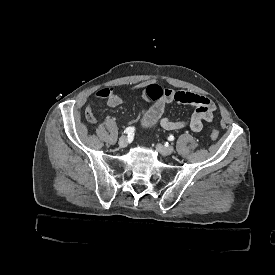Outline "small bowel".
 Segmentation results:
<instances>
[{
	"instance_id": "obj_1",
	"label": "small bowel",
	"mask_w": 275,
	"mask_h": 275,
	"mask_svg": "<svg viewBox=\"0 0 275 275\" xmlns=\"http://www.w3.org/2000/svg\"><path fill=\"white\" fill-rule=\"evenodd\" d=\"M147 86L148 84L143 82L134 86L132 91H143ZM96 98L105 99L110 107H117L123 103L125 96L104 88L97 92ZM173 102L195 105L196 110L185 120H175L169 117L162 118L166 105ZM89 106H93V104ZM214 112L215 105L207 97L183 90H166L164 97L152 105V113L146 118L143 129L149 130L159 123L165 130H179L188 127L193 132H199L202 130L204 122L213 120Z\"/></svg>"
}]
</instances>
